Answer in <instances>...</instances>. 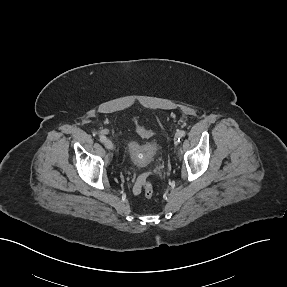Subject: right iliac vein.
<instances>
[{
  "label": "right iliac vein",
  "instance_id": "obj_1",
  "mask_svg": "<svg viewBox=\"0 0 287 287\" xmlns=\"http://www.w3.org/2000/svg\"><path fill=\"white\" fill-rule=\"evenodd\" d=\"M104 146H105L106 149H108V150H112L113 147H114V145H113V143H112L111 140H106V141L104 142Z\"/></svg>",
  "mask_w": 287,
  "mask_h": 287
}]
</instances>
